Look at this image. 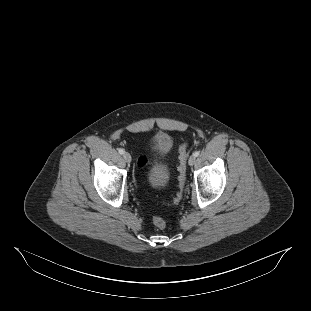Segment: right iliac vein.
<instances>
[{
  "label": "right iliac vein",
  "mask_w": 311,
  "mask_h": 311,
  "mask_svg": "<svg viewBox=\"0 0 311 311\" xmlns=\"http://www.w3.org/2000/svg\"><path fill=\"white\" fill-rule=\"evenodd\" d=\"M123 158L125 162L130 163L131 162V155L128 152L123 153Z\"/></svg>",
  "instance_id": "obj_1"
}]
</instances>
